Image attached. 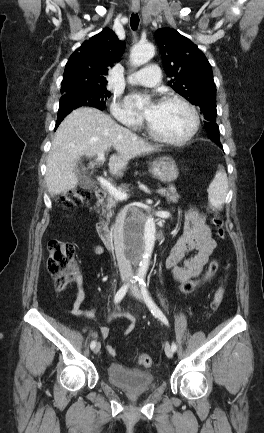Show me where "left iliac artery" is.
I'll return each mask as SVG.
<instances>
[{
    "label": "left iliac artery",
    "instance_id": "1",
    "mask_svg": "<svg viewBox=\"0 0 264 433\" xmlns=\"http://www.w3.org/2000/svg\"><path fill=\"white\" fill-rule=\"evenodd\" d=\"M139 285L141 287L142 295L145 299V302L147 303L148 307L150 308L152 314L156 317H158L164 324L168 325V320L166 316L162 313V311L157 307V305L153 302L151 297L148 294V290L146 288V282L144 278H138ZM172 351L175 352L177 350L176 344L172 343Z\"/></svg>",
    "mask_w": 264,
    "mask_h": 433
}]
</instances>
